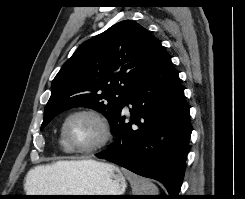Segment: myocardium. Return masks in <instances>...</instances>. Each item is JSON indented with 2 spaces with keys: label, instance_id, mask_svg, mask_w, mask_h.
<instances>
[{
  "label": "myocardium",
  "instance_id": "obj_1",
  "mask_svg": "<svg viewBox=\"0 0 245 199\" xmlns=\"http://www.w3.org/2000/svg\"><path fill=\"white\" fill-rule=\"evenodd\" d=\"M79 115H86V116L92 117L94 120L98 122V124L100 125L102 129L101 139L95 145L91 147L79 148L71 142L68 136L67 127H68L70 120L74 118L75 116H79ZM61 134H62V137L65 143L71 150V152L82 154V155L95 154L101 151L110 143L112 139V129H111V125L108 119L99 111L95 109H91V108H81V109H76L70 112L63 121V124L61 127Z\"/></svg>",
  "mask_w": 245,
  "mask_h": 199
}]
</instances>
